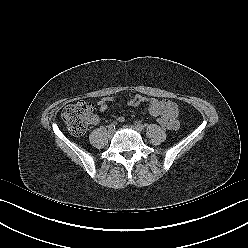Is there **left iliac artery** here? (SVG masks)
<instances>
[{
	"label": "left iliac artery",
	"instance_id": "left-iliac-artery-1",
	"mask_svg": "<svg viewBox=\"0 0 248 248\" xmlns=\"http://www.w3.org/2000/svg\"><path fill=\"white\" fill-rule=\"evenodd\" d=\"M137 127H138L139 130H144V125L141 124V123H138Z\"/></svg>",
	"mask_w": 248,
	"mask_h": 248
}]
</instances>
